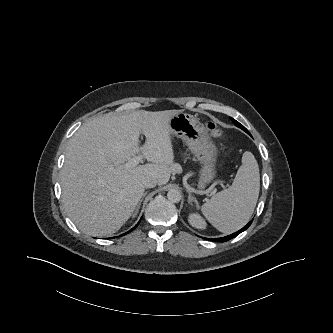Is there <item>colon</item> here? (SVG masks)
Masks as SVG:
<instances>
[{
    "instance_id": "1",
    "label": "colon",
    "mask_w": 333,
    "mask_h": 333,
    "mask_svg": "<svg viewBox=\"0 0 333 333\" xmlns=\"http://www.w3.org/2000/svg\"><path fill=\"white\" fill-rule=\"evenodd\" d=\"M207 128L208 130L214 135L218 136L219 135V129L217 128L216 124L213 122H208L207 123Z\"/></svg>"
}]
</instances>
